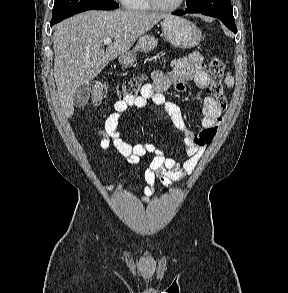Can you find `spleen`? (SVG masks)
<instances>
[{
  "instance_id": "spleen-1",
  "label": "spleen",
  "mask_w": 288,
  "mask_h": 293,
  "mask_svg": "<svg viewBox=\"0 0 288 293\" xmlns=\"http://www.w3.org/2000/svg\"><path fill=\"white\" fill-rule=\"evenodd\" d=\"M225 84L229 88L233 87V85H234V78L231 76L230 73H227V75H226Z\"/></svg>"
}]
</instances>
